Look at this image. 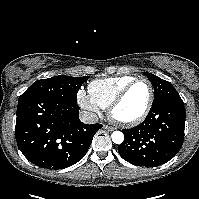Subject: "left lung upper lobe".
I'll list each match as a JSON object with an SVG mask.
<instances>
[{
    "label": "left lung upper lobe",
    "mask_w": 199,
    "mask_h": 199,
    "mask_svg": "<svg viewBox=\"0 0 199 199\" xmlns=\"http://www.w3.org/2000/svg\"><path fill=\"white\" fill-rule=\"evenodd\" d=\"M147 78L150 80L154 87V100L153 104H156L164 99L179 96L173 85L168 81H165L154 74L144 72Z\"/></svg>",
    "instance_id": "5c2ea615"
}]
</instances>
